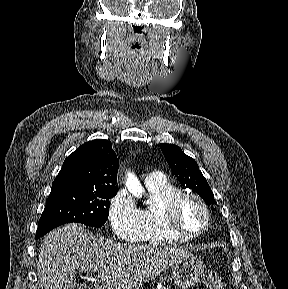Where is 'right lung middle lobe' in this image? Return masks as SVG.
I'll return each mask as SVG.
<instances>
[{
	"mask_svg": "<svg viewBox=\"0 0 288 289\" xmlns=\"http://www.w3.org/2000/svg\"><path fill=\"white\" fill-rule=\"evenodd\" d=\"M116 193L117 189L51 191L40 217L36 235L41 237L53 228L70 222L101 227L108 219L109 199Z\"/></svg>",
	"mask_w": 288,
	"mask_h": 289,
	"instance_id": "right-lung-middle-lobe-1",
	"label": "right lung middle lobe"
}]
</instances>
